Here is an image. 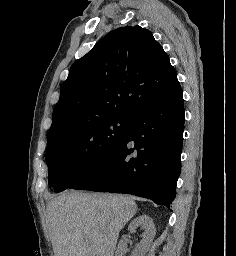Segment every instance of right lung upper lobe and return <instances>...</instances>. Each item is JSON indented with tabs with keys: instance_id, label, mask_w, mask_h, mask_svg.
Instances as JSON below:
<instances>
[{
	"instance_id": "obj_1",
	"label": "right lung upper lobe",
	"mask_w": 236,
	"mask_h": 256,
	"mask_svg": "<svg viewBox=\"0 0 236 256\" xmlns=\"http://www.w3.org/2000/svg\"><path fill=\"white\" fill-rule=\"evenodd\" d=\"M180 83L152 33L125 26L108 33L72 65L53 109L48 137L79 123L130 118Z\"/></svg>"
}]
</instances>
